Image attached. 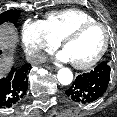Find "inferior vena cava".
Wrapping results in <instances>:
<instances>
[{"label":"inferior vena cava","mask_w":117,"mask_h":117,"mask_svg":"<svg viewBox=\"0 0 117 117\" xmlns=\"http://www.w3.org/2000/svg\"><path fill=\"white\" fill-rule=\"evenodd\" d=\"M27 61L31 64H42L46 61V55L43 52L35 51L27 56Z\"/></svg>","instance_id":"inferior-vena-cava-1"}]
</instances>
